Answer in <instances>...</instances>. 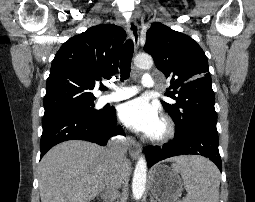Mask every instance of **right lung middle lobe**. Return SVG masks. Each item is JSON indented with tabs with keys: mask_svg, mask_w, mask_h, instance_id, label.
Here are the masks:
<instances>
[{
	"mask_svg": "<svg viewBox=\"0 0 255 202\" xmlns=\"http://www.w3.org/2000/svg\"><path fill=\"white\" fill-rule=\"evenodd\" d=\"M57 112H82L89 114L93 117H101L104 114V111L101 110H95L93 103H86L81 105H76L70 108H66Z\"/></svg>",
	"mask_w": 255,
	"mask_h": 202,
	"instance_id": "right-lung-middle-lobe-1",
	"label": "right lung middle lobe"
}]
</instances>
